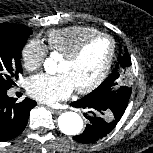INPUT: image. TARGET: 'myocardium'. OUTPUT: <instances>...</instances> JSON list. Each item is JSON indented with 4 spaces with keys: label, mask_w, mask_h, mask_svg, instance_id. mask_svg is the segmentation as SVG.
<instances>
[{
    "label": "myocardium",
    "mask_w": 153,
    "mask_h": 153,
    "mask_svg": "<svg viewBox=\"0 0 153 153\" xmlns=\"http://www.w3.org/2000/svg\"><path fill=\"white\" fill-rule=\"evenodd\" d=\"M99 38H105L109 40L110 42V53L109 57L107 59V62L102 69L101 73L98 75V77L92 81L90 84H88L85 87H80V88H75V91L79 94H87L95 90L97 87H99L102 82L106 79L108 76L111 67L113 65L114 59H115V54H116V42L115 40L108 34L106 33H97L94 35H91L87 38H85L83 41H81L72 51L69 53L65 54L63 58L67 60L68 62H73L75 61L85 50V48L94 40H97Z\"/></svg>",
    "instance_id": "obj_1"
}]
</instances>
